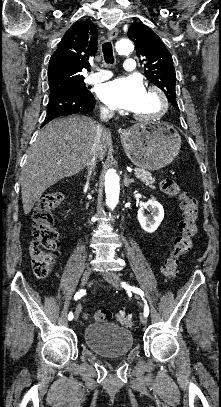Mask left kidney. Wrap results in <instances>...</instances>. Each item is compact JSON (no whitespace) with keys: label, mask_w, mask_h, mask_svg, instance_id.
<instances>
[{"label":"left kidney","mask_w":221,"mask_h":407,"mask_svg":"<svg viewBox=\"0 0 221 407\" xmlns=\"http://www.w3.org/2000/svg\"><path fill=\"white\" fill-rule=\"evenodd\" d=\"M146 210L150 212V215L146 214ZM137 217L141 227L146 232L152 233L157 230L164 218L163 206L152 197L138 210Z\"/></svg>","instance_id":"5707ae66"}]
</instances>
